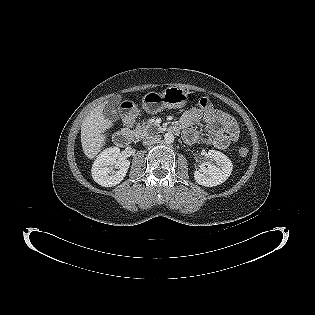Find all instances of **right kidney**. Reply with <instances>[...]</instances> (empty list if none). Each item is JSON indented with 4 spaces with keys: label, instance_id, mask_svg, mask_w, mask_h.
Here are the masks:
<instances>
[{
    "label": "right kidney",
    "instance_id": "ca27d5eb",
    "mask_svg": "<svg viewBox=\"0 0 315 315\" xmlns=\"http://www.w3.org/2000/svg\"><path fill=\"white\" fill-rule=\"evenodd\" d=\"M118 147L107 148L100 153L92 166V177L96 183L104 187H112L119 184L130 166V161L119 159ZM118 169V170H114Z\"/></svg>",
    "mask_w": 315,
    "mask_h": 315
}]
</instances>
